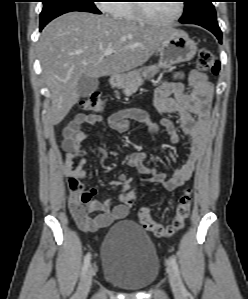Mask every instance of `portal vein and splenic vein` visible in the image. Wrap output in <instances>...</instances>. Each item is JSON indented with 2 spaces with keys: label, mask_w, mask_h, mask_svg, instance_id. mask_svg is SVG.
<instances>
[{
  "label": "portal vein and splenic vein",
  "mask_w": 248,
  "mask_h": 299,
  "mask_svg": "<svg viewBox=\"0 0 248 299\" xmlns=\"http://www.w3.org/2000/svg\"><path fill=\"white\" fill-rule=\"evenodd\" d=\"M117 51L116 50H113V49H111V48H107V49H105L104 51H103V54L105 55V56H109V55H111L112 53H116Z\"/></svg>",
  "instance_id": "obj_1"
}]
</instances>
